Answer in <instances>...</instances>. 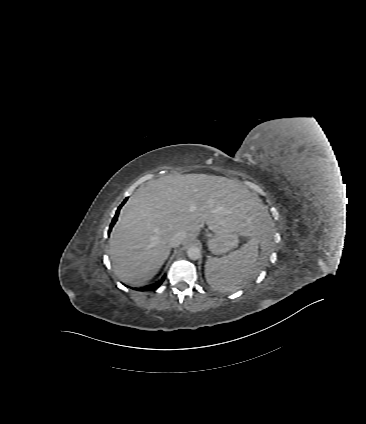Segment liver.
I'll list each match as a JSON object with an SVG mask.
<instances>
[{
  "label": "liver",
  "instance_id": "1",
  "mask_svg": "<svg viewBox=\"0 0 366 424\" xmlns=\"http://www.w3.org/2000/svg\"><path fill=\"white\" fill-rule=\"evenodd\" d=\"M263 217L260 199L237 180L207 174L151 180L129 198L111 232L114 273L130 284L150 280L171 252V236L185 232L186 244L204 223L213 233L236 230L265 240Z\"/></svg>",
  "mask_w": 366,
  "mask_h": 424
}]
</instances>
